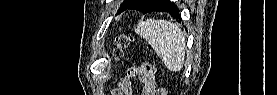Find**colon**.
<instances>
[{
    "label": "colon",
    "mask_w": 277,
    "mask_h": 95,
    "mask_svg": "<svg viewBox=\"0 0 277 95\" xmlns=\"http://www.w3.org/2000/svg\"><path fill=\"white\" fill-rule=\"evenodd\" d=\"M132 37L120 34L115 36L114 43H115V49H114V57L119 58L122 55V50L132 41Z\"/></svg>",
    "instance_id": "5ec220e1"
}]
</instances>
